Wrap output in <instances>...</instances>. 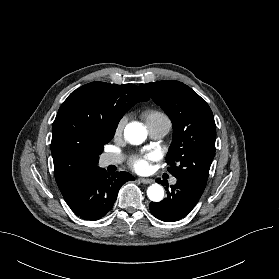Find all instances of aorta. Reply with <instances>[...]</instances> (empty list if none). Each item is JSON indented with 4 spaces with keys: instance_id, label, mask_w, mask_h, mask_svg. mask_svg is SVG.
<instances>
[{
    "instance_id": "1",
    "label": "aorta",
    "mask_w": 279,
    "mask_h": 279,
    "mask_svg": "<svg viewBox=\"0 0 279 279\" xmlns=\"http://www.w3.org/2000/svg\"><path fill=\"white\" fill-rule=\"evenodd\" d=\"M124 136L128 142L139 145L147 138V131L140 123H129L124 130ZM147 196L153 202H159L164 197V189L159 184H152L147 189Z\"/></svg>"
}]
</instances>
